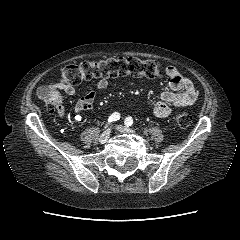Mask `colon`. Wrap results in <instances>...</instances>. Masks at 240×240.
Segmentation results:
<instances>
[{
  "instance_id": "obj_1",
  "label": "colon",
  "mask_w": 240,
  "mask_h": 240,
  "mask_svg": "<svg viewBox=\"0 0 240 240\" xmlns=\"http://www.w3.org/2000/svg\"><path fill=\"white\" fill-rule=\"evenodd\" d=\"M162 73V67L156 60H142L135 57H107L98 61L66 65L60 71V80L65 85L74 86L85 80L128 75L156 79L160 78ZM38 94L50 112H58L62 107L61 96L55 84L40 87ZM174 122L179 128H187L191 123V116L185 112L177 113Z\"/></svg>"
}]
</instances>
